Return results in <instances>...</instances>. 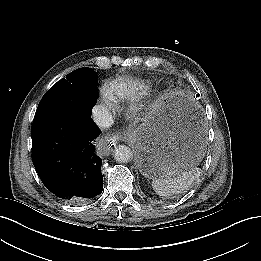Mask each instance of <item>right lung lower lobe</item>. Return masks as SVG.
I'll list each match as a JSON object with an SVG mask.
<instances>
[{
  "label": "right lung lower lobe",
  "mask_w": 261,
  "mask_h": 261,
  "mask_svg": "<svg viewBox=\"0 0 261 261\" xmlns=\"http://www.w3.org/2000/svg\"><path fill=\"white\" fill-rule=\"evenodd\" d=\"M100 134L91 111L32 126V158L43 184L72 204L101 194L102 160L95 145Z\"/></svg>",
  "instance_id": "right-lung-lower-lobe-1"
}]
</instances>
